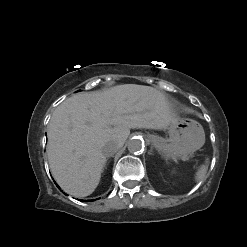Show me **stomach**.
Instances as JSON below:
<instances>
[{
    "mask_svg": "<svg viewBox=\"0 0 247 247\" xmlns=\"http://www.w3.org/2000/svg\"><path fill=\"white\" fill-rule=\"evenodd\" d=\"M169 138L149 135L152 145L166 158L177 159L200 149L205 143L202 125L193 119L177 117L169 126Z\"/></svg>",
    "mask_w": 247,
    "mask_h": 247,
    "instance_id": "obj_1",
    "label": "stomach"
}]
</instances>
